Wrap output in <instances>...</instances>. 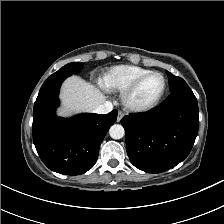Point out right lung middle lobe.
<instances>
[{"instance_id": "dd1d6c3e", "label": "right lung middle lobe", "mask_w": 224, "mask_h": 224, "mask_svg": "<svg viewBox=\"0 0 224 224\" xmlns=\"http://www.w3.org/2000/svg\"><path fill=\"white\" fill-rule=\"evenodd\" d=\"M83 67V64L80 62H73L65 65L64 67L60 68L57 72V74H69L77 73L79 72Z\"/></svg>"}]
</instances>
